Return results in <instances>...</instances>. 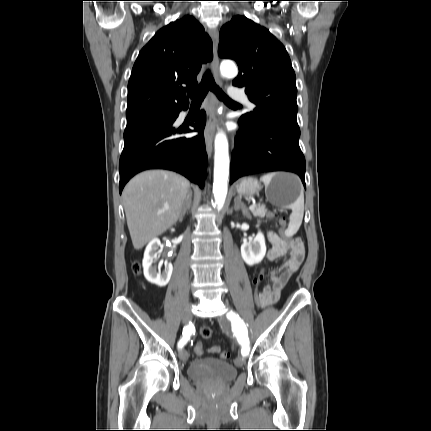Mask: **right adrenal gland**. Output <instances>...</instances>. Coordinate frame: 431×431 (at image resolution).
Masks as SVG:
<instances>
[{
	"instance_id": "1",
	"label": "right adrenal gland",
	"mask_w": 431,
	"mask_h": 431,
	"mask_svg": "<svg viewBox=\"0 0 431 431\" xmlns=\"http://www.w3.org/2000/svg\"><path fill=\"white\" fill-rule=\"evenodd\" d=\"M191 198H192V192L189 191L186 197V200L184 202V205L182 207V212L179 218V221L181 222L183 220V217L185 216L187 210L190 208V204H191Z\"/></svg>"
}]
</instances>
